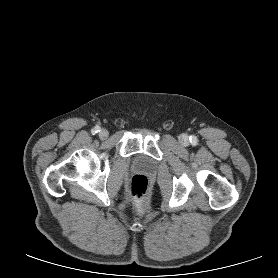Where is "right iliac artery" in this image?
<instances>
[{
  "label": "right iliac artery",
  "instance_id": "right-iliac-artery-1",
  "mask_svg": "<svg viewBox=\"0 0 278 278\" xmlns=\"http://www.w3.org/2000/svg\"><path fill=\"white\" fill-rule=\"evenodd\" d=\"M99 131H100V128L98 126H96L95 128L92 129V134H96Z\"/></svg>",
  "mask_w": 278,
  "mask_h": 278
}]
</instances>
